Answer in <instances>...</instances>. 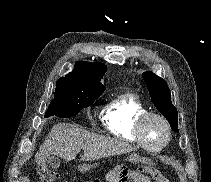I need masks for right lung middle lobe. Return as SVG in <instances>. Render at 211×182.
Segmentation results:
<instances>
[{
    "label": "right lung middle lobe",
    "instance_id": "dd1d6c3e",
    "mask_svg": "<svg viewBox=\"0 0 211 182\" xmlns=\"http://www.w3.org/2000/svg\"><path fill=\"white\" fill-rule=\"evenodd\" d=\"M103 92L91 86L59 78L56 82L54 99L50 102L45 117L56 115L60 118H67L74 116L82 108L91 105Z\"/></svg>",
    "mask_w": 211,
    "mask_h": 182
}]
</instances>
